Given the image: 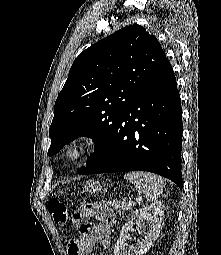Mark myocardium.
Instances as JSON below:
<instances>
[{
    "mask_svg": "<svg viewBox=\"0 0 221 255\" xmlns=\"http://www.w3.org/2000/svg\"><path fill=\"white\" fill-rule=\"evenodd\" d=\"M91 147L92 139L88 135H79L66 147L65 157L68 161L77 163L87 156Z\"/></svg>",
    "mask_w": 221,
    "mask_h": 255,
    "instance_id": "1",
    "label": "myocardium"
}]
</instances>
